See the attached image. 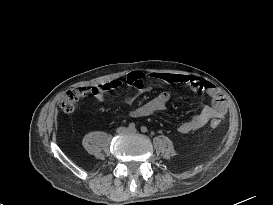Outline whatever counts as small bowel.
Here are the masks:
<instances>
[{
    "instance_id": "obj_1",
    "label": "small bowel",
    "mask_w": 273,
    "mask_h": 205,
    "mask_svg": "<svg viewBox=\"0 0 273 205\" xmlns=\"http://www.w3.org/2000/svg\"><path fill=\"white\" fill-rule=\"evenodd\" d=\"M148 82L186 84L192 92L197 93L204 91L210 96L211 103L209 105H204L196 115L179 126V131L181 133H189L198 130L210 119L222 118L227 112L226 101L215 85L206 80L185 74L170 72L145 74L142 71H133L123 78H115L104 83L96 84L90 89V92L96 100L104 102L105 94L107 92L126 85L132 86L134 87L135 92L125 97V101L131 103L140 93L146 90V84ZM172 96L171 92L163 91L151 100L135 108L131 114L134 117L151 116L158 111L164 110Z\"/></svg>"
}]
</instances>
